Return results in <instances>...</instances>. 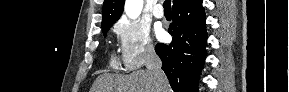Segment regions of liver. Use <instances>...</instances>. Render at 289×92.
I'll return each instance as SVG.
<instances>
[{"mask_svg":"<svg viewBox=\"0 0 289 92\" xmlns=\"http://www.w3.org/2000/svg\"><path fill=\"white\" fill-rule=\"evenodd\" d=\"M91 90V92H158L154 75L149 70H139L129 75L105 73L96 79ZM163 92H171L168 82Z\"/></svg>","mask_w":289,"mask_h":92,"instance_id":"1","label":"liver"}]
</instances>
